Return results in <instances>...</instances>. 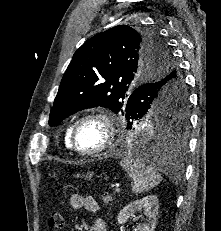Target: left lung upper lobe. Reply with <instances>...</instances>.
I'll return each mask as SVG.
<instances>
[{
    "mask_svg": "<svg viewBox=\"0 0 221 231\" xmlns=\"http://www.w3.org/2000/svg\"><path fill=\"white\" fill-rule=\"evenodd\" d=\"M136 84H141V89L149 84L158 86L144 89L138 104L131 105L128 99ZM182 86L169 46L156 31L119 25L96 34L75 52L62 78L49 125H57L77 111L102 106L122 112L126 118L133 112L137 120L152 115L158 128L174 127L181 132L187 126Z\"/></svg>",
    "mask_w": 221,
    "mask_h": 231,
    "instance_id": "5c2ea615",
    "label": "left lung upper lobe"
}]
</instances>
